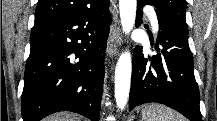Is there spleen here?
I'll use <instances>...</instances> for the list:
<instances>
[{"instance_id": "1", "label": "spleen", "mask_w": 217, "mask_h": 121, "mask_svg": "<svg viewBox=\"0 0 217 121\" xmlns=\"http://www.w3.org/2000/svg\"><path fill=\"white\" fill-rule=\"evenodd\" d=\"M142 121H185L183 117L172 109L160 105L151 104L142 110Z\"/></svg>"}]
</instances>
